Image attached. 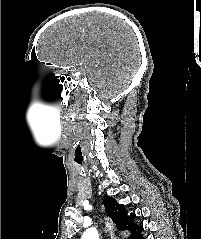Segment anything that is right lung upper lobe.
Wrapping results in <instances>:
<instances>
[{"label": "right lung upper lobe", "instance_id": "obj_1", "mask_svg": "<svg viewBox=\"0 0 201 239\" xmlns=\"http://www.w3.org/2000/svg\"><path fill=\"white\" fill-rule=\"evenodd\" d=\"M104 206L106 213L114 220L120 230L130 231L129 239H138L143 227L134 223V218L136 217L134 213L128 217L124 206L118 204L117 201L110 196L104 198Z\"/></svg>", "mask_w": 201, "mask_h": 239}]
</instances>
